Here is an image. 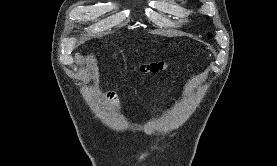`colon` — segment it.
Here are the masks:
<instances>
[{"mask_svg": "<svg viewBox=\"0 0 277 166\" xmlns=\"http://www.w3.org/2000/svg\"><path fill=\"white\" fill-rule=\"evenodd\" d=\"M165 68L163 61H154L142 66V69L146 72H159Z\"/></svg>", "mask_w": 277, "mask_h": 166, "instance_id": "1", "label": "colon"}]
</instances>
